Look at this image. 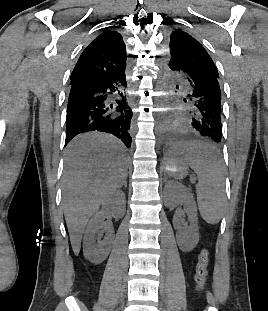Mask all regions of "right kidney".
Returning a JSON list of instances; mask_svg holds the SVG:
<instances>
[{"label": "right kidney", "mask_w": 268, "mask_h": 311, "mask_svg": "<svg viewBox=\"0 0 268 311\" xmlns=\"http://www.w3.org/2000/svg\"><path fill=\"white\" fill-rule=\"evenodd\" d=\"M125 211V195L121 191H116L103 203L102 209L93 215L83 238V254L87 260L94 264H100L107 258L114 237V229L108 227L105 238L101 242H96L97 237L100 236V230L104 226V220L107 214L115 217H123Z\"/></svg>", "instance_id": "right-kidney-1"}]
</instances>
